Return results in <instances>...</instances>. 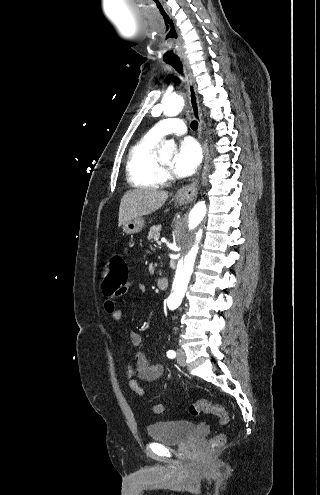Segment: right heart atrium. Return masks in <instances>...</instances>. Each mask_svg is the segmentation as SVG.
<instances>
[{
    "label": "right heart atrium",
    "instance_id": "right-heart-atrium-1",
    "mask_svg": "<svg viewBox=\"0 0 320 495\" xmlns=\"http://www.w3.org/2000/svg\"><path fill=\"white\" fill-rule=\"evenodd\" d=\"M162 176H163L164 178H166V177H167V175H166V174H163Z\"/></svg>",
    "mask_w": 320,
    "mask_h": 495
}]
</instances>
